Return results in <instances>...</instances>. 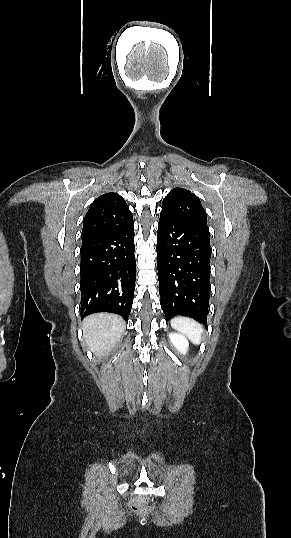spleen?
<instances>
[{
	"instance_id": "3e777b00",
	"label": "spleen",
	"mask_w": 291,
	"mask_h": 538,
	"mask_svg": "<svg viewBox=\"0 0 291 538\" xmlns=\"http://www.w3.org/2000/svg\"><path fill=\"white\" fill-rule=\"evenodd\" d=\"M171 326L185 334L193 343H200L203 326L197 321L191 318L177 316L171 320Z\"/></svg>"
}]
</instances>
